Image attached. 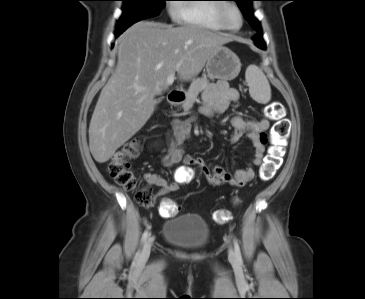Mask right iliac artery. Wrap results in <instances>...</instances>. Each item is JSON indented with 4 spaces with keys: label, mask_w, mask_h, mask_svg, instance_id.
Instances as JSON below:
<instances>
[{
    "label": "right iliac artery",
    "mask_w": 365,
    "mask_h": 299,
    "mask_svg": "<svg viewBox=\"0 0 365 299\" xmlns=\"http://www.w3.org/2000/svg\"><path fill=\"white\" fill-rule=\"evenodd\" d=\"M148 235H149V227L144 231V233L142 235V238H141V243L142 244L146 241ZM138 254H140V252Z\"/></svg>",
    "instance_id": "82829eb1"
}]
</instances>
